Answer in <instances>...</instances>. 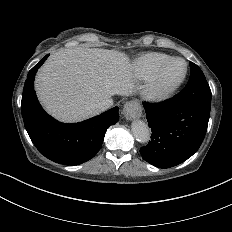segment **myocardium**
I'll use <instances>...</instances> for the list:
<instances>
[{
	"label": "myocardium",
	"instance_id": "obj_1",
	"mask_svg": "<svg viewBox=\"0 0 232 232\" xmlns=\"http://www.w3.org/2000/svg\"><path fill=\"white\" fill-rule=\"evenodd\" d=\"M182 61L185 64L184 74L176 81L169 84H162L161 80L169 68L176 62ZM188 62L184 59L174 57L166 64L156 70L141 86L140 98L149 105H160L166 102L176 90L183 84L188 75Z\"/></svg>",
	"mask_w": 232,
	"mask_h": 232
}]
</instances>
